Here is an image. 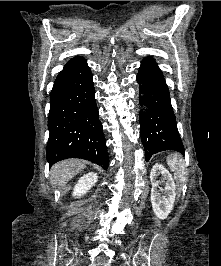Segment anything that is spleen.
<instances>
[{
    "label": "spleen",
    "mask_w": 221,
    "mask_h": 266,
    "mask_svg": "<svg viewBox=\"0 0 221 266\" xmlns=\"http://www.w3.org/2000/svg\"><path fill=\"white\" fill-rule=\"evenodd\" d=\"M167 164L172 172H174L176 179L182 185L186 180V166L184 161L178 154L169 155Z\"/></svg>",
    "instance_id": "3e777b00"
}]
</instances>
